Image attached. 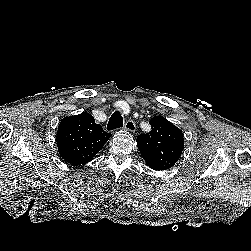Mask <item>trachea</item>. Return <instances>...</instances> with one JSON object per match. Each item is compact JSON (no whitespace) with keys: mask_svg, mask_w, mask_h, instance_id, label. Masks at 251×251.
<instances>
[{"mask_svg":"<svg viewBox=\"0 0 251 251\" xmlns=\"http://www.w3.org/2000/svg\"><path fill=\"white\" fill-rule=\"evenodd\" d=\"M122 125H123V118L119 111H115L109 119V122L107 124V129L115 130L119 127H122Z\"/></svg>","mask_w":251,"mask_h":251,"instance_id":"1","label":"trachea"}]
</instances>
